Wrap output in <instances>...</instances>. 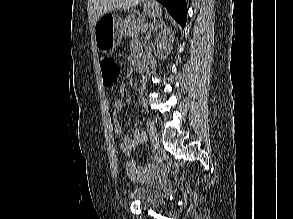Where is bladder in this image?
<instances>
[{
  "mask_svg": "<svg viewBox=\"0 0 293 219\" xmlns=\"http://www.w3.org/2000/svg\"><path fill=\"white\" fill-rule=\"evenodd\" d=\"M128 196L133 199H138L146 204H154L160 198V193L158 190L147 187V186H137L132 188L128 192Z\"/></svg>",
  "mask_w": 293,
  "mask_h": 219,
  "instance_id": "bladder-1",
  "label": "bladder"
}]
</instances>
